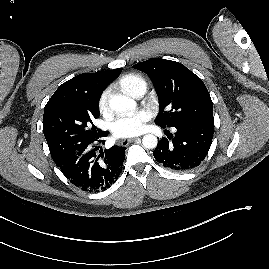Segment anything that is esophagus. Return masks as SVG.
<instances>
[{
    "label": "esophagus",
    "instance_id": "1",
    "mask_svg": "<svg viewBox=\"0 0 269 269\" xmlns=\"http://www.w3.org/2000/svg\"><path fill=\"white\" fill-rule=\"evenodd\" d=\"M137 141H140V138L139 137L131 138V139H123L121 141V145L122 146H127L129 143H131V142H137Z\"/></svg>",
    "mask_w": 269,
    "mask_h": 269
}]
</instances>
